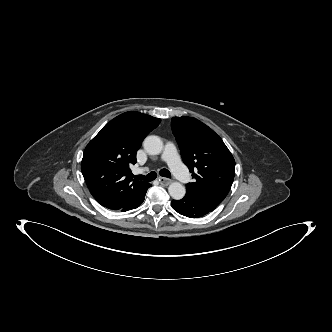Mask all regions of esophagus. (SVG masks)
Returning a JSON list of instances; mask_svg holds the SVG:
<instances>
[{"label":"esophagus","instance_id":"esophagus-1","mask_svg":"<svg viewBox=\"0 0 332 332\" xmlns=\"http://www.w3.org/2000/svg\"><path fill=\"white\" fill-rule=\"evenodd\" d=\"M159 182L163 185H169L171 183V180L168 178L160 177Z\"/></svg>","mask_w":332,"mask_h":332}]
</instances>
